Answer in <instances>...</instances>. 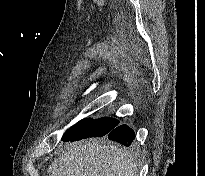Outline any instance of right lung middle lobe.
Segmentation results:
<instances>
[{
	"mask_svg": "<svg viewBox=\"0 0 205 176\" xmlns=\"http://www.w3.org/2000/svg\"><path fill=\"white\" fill-rule=\"evenodd\" d=\"M119 124V120L103 117L97 120L83 119L70 127L63 135L62 140L71 138L84 139L89 137H102Z\"/></svg>",
	"mask_w": 205,
	"mask_h": 176,
	"instance_id": "right-lung-middle-lobe-1",
	"label": "right lung middle lobe"
}]
</instances>
